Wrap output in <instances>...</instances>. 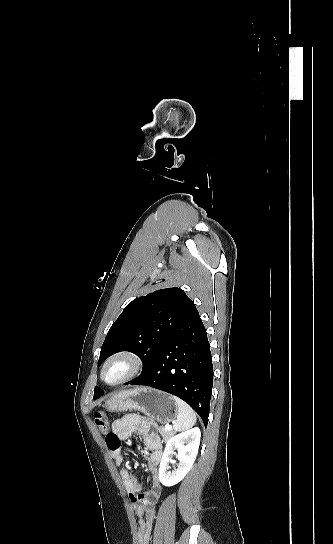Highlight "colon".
<instances>
[{"label": "colon", "mask_w": 333, "mask_h": 544, "mask_svg": "<svg viewBox=\"0 0 333 544\" xmlns=\"http://www.w3.org/2000/svg\"><path fill=\"white\" fill-rule=\"evenodd\" d=\"M94 421L98 429L104 433L109 434V421L106 412L99 411L94 414Z\"/></svg>", "instance_id": "colon-1"}]
</instances>
